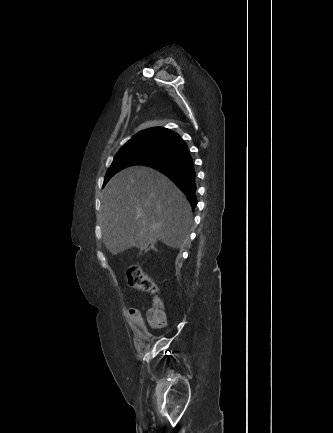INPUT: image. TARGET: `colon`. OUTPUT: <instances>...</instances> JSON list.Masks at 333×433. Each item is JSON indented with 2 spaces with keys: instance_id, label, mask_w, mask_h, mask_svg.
Returning a JSON list of instances; mask_svg holds the SVG:
<instances>
[{
  "instance_id": "colon-1",
  "label": "colon",
  "mask_w": 333,
  "mask_h": 433,
  "mask_svg": "<svg viewBox=\"0 0 333 433\" xmlns=\"http://www.w3.org/2000/svg\"><path fill=\"white\" fill-rule=\"evenodd\" d=\"M127 281L128 285L134 289L143 290L152 295L156 293L154 282L140 266L134 265L128 268ZM148 319L156 327H164L167 323L166 315L157 297H154V304L148 312Z\"/></svg>"
}]
</instances>
